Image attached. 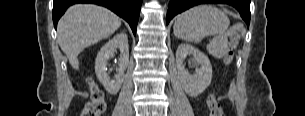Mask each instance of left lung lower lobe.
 <instances>
[{
	"label": "left lung lower lobe",
	"mask_w": 305,
	"mask_h": 116,
	"mask_svg": "<svg viewBox=\"0 0 305 116\" xmlns=\"http://www.w3.org/2000/svg\"><path fill=\"white\" fill-rule=\"evenodd\" d=\"M202 3H225L235 7L245 20L247 25L250 23V0H170L167 12L166 23L177 14Z\"/></svg>",
	"instance_id": "0a47b994"
}]
</instances>
